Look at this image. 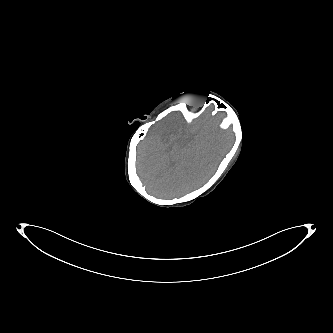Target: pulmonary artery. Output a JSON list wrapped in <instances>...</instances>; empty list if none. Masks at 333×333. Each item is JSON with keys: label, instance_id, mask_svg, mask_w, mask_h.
<instances>
[{"label": "pulmonary artery", "instance_id": "pulmonary-artery-1", "mask_svg": "<svg viewBox=\"0 0 333 333\" xmlns=\"http://www.w3.org/2000/svg\"><path fill=\"white\" fill-rule=\"evenodd\" d=\"M26 226V224H23V227H25Z\"/></svg>", "mask_w": 333, "mask_h": 333}]
</instances>
